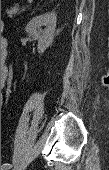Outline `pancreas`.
<instances>
[{
    "label": "pancreas",
    "instance_id": "obj_1",
    "mask_svg": "<svg viewBox=\"0 0 109 170\" xmlns=\"http://www.w3.org/2000/svg\"><path fill=\"white\" fill-rule=\"evenodd\" d=\"M21 11H23V9L20 10V8H19L18 6H15V7L11 8V9H7V10H6V13H7V15H8L10 18H12V17H14L16 14H20Z\"/></svg>",
    "mask_w": 109,
    "mask_h": 170
}]
</instances>
